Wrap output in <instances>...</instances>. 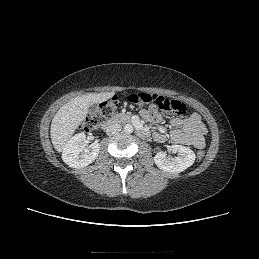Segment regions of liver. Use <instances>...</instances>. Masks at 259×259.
Returning a JSON list of instances; mask_svg holds the SVG:
<instances>
[{
    "instance_id": "obj_1",
    "label": "liver",
    "mask_w": 259,
    "mask_h": 259,
    "mask_svg": "<svg viewBox=\"0 0 259 259\" xmlns=\"http://www.w3.org/2000/svg\"><path fill=\"white\" fill-rule=\"evenodd\" d=\"M114 92L89 93L71 99L56 112L52 119L50 136L56 151L62 152L68 140L84 121L89 107L110 99Z\"/></svg>"
}]
</instances>
